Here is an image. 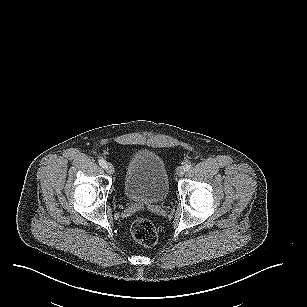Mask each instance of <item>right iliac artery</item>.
Here are the masks:
<instances>
[{
    "label": "right iliac artery",
    "instance_id": "82829eb1",
    "mask_svg": "<svg viewBox=\"0 0 307 307\" xmlns=\"http://www.w3.org/2000/svg\"><path fill=\"white\" fill-rule=\"evenodd\" d=\"M98 163H99V165H100L102 168H105V166H106V161H105V160L99 159Z\"/></svg>",
    "mask_w": 307,
    "mask_h": 307
}]
</instances>
